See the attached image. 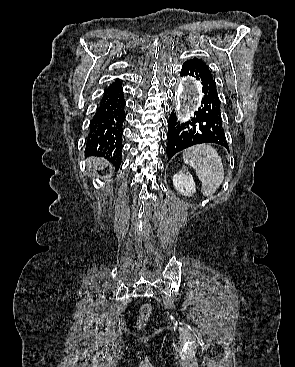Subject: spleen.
Instances as JSON below:
<instances>
[{
    "label": "spleen",
    "mask_w": 295,
    "mask_h": 367,
    "mask_svg": "<svg viewBox=\"0 0 295 367\" xmlns=\"http://www.w3.org/2000/svg\"><path fill=\"white\" fill-rule=\"evenodd\" d=\"M183 160L195 169L202 183L203 195H213L224 179V169L218 152L212 146L200 144L186 149Z\"/></svg>",
    "instance_id": "obj_1"
}]
</instances>
